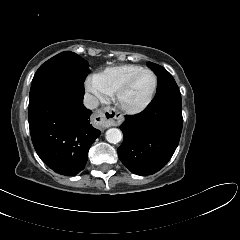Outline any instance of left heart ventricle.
Returning <instances> with one entry per match:
<instances>
[{"mask_svg": "<svg viewBox=\"0 0 240 240\" xmlns=\"http://www.w3.org/2000/svg\"><path fill=\"white\" fill-rule=\"evenodd\" d=\"M153 87V75L148 72L141 74L124 94L123 103L130 107L140 106L149 98Z\"/></svg>", "mask_w": 240, "mask_h": 240, "instance_id": "obj_1", "label": "left heart ventricle"}]
</instances>
